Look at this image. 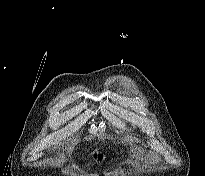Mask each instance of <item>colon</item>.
I'll list each match as a JSON object with an SVG mask.
<instances>
[{
	"label": "colon",
	"mask_w": 205,
	"mask_h": 176,
	"mask_svg": "<svg viewBox=\"0 0 205 176\" xmlns=\"http://www.w3.org/2000/svg\"><path fill=\"white\" fill-rule=\"evenodd\" d=\"M97 158H98V161H101L102 160V155H98Z\"/></svg>",
	"instance_id": "obj_1"
}]
</instances>
